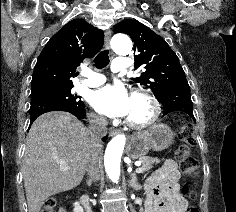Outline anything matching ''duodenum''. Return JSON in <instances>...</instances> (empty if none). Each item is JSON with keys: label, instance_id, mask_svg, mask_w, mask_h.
<instances>
[{"label": "duodenum", "instance_id": "1", "mask_svg": "<svg viewBox=\"0 0 236 212\" xmlns=\"http://www.w3.org/2000/svg\"><path fill=\"white\" fill-rule=\"evenodd\" d=\"M81 200L86 209V212H92V206L89 202V197L86 194H83Z\"/></svg>", "mask_w": 236, "mask_h": 212}]
</instances>
